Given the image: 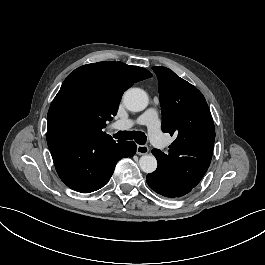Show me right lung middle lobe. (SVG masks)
Segmentation results:
<instances>
[{"label":"right lung middle lobe","instance_id":"right-lung-middle-lobe-1","mask_svg":"<svg viewBox=\"0 0 265 265\" xmlns=\"http://www.w3.org/2000/svg\"><path fill=\"white\" fill-rule=\"evenodd\" d=\"M103 116L102 106L90 96L72 92L53 101L47 116V128L95 134Z\"/></svg>","mask_w":265,"mask_h":265}]
</instances>
